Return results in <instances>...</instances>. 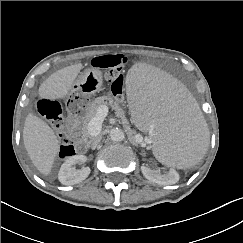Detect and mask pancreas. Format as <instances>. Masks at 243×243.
Returning <instances> with one entry per match:
<instances>
[{
    "mask_svg": "<svg viewBox=\"0 0 243 243\" xmlns=\"http://www.w3.org/2000/svg\"><path fill=\"white\" fill-rule=\"evenodd\" d=\"M107 104L112 106L117 117H120L123 121L125 120L124 110L112 98L106 96L97 97L89 104L86 118L82 124V134L85 138L92 137L88 131V124L96 116L97 110Z\"/></svg>",
    "mask_w": 243,
    "mask_h": 243,
    "instance_id": "cf45deb5",
    "label": "pancreas"
}]
</instances>
